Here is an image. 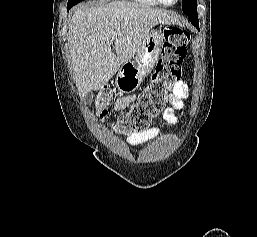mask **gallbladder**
I'll return each mask as SVG.
<instances>
[{"label":"gallbladder","mask_w":257,"mask_h":237,"mask_svg":"<svg viewBox=\"0 0 257 237\" xmlns=\"http://www.w3.org/2000/svg\"><path fill=\"white\" fill-rule=\"evenodd\" d=\"M85 97H86V99H87V100H88V99H90V98H91V94H90V92H89V93H87Z\"/></svg>","instance_id":"obj_1"}]
</instances>
